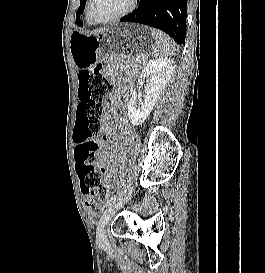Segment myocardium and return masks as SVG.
<instances>
[{
	"mask_svg": "<svg viewBox=\"0 0 265 273\" xmlns=\"http://www.w3.org/2000/svg\"><path fill=\"white\" fill-rule=\"evenodd\" d=\"M92 2H93V0H88L87 4H86V16H87V19L89 21H91L92 23H94V24H105V23H112V22L118 21V20L126 17L127 15H129L136 8L138 0H131V3L128 6V8H126L121 13H119V14L113 16V17L107 18V19H95V18L92 17V15H91V5H92Z\"/></svg>",
	"mask_w": 265,
	"mask_h": 273,
	"instance_id": "1",
	"label": "myocardium"
}]
</instances>
